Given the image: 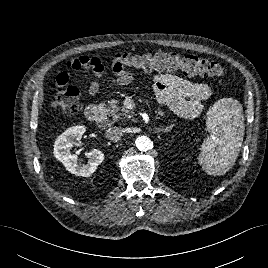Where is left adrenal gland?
<instances>
[{"mask_svg": "<svg viewBox=\"0 0 268 268\" xmlns=\"http://www.w3.org/2000/svg\"><path fill=\"white\" fill-rule=\"evenodd\" d=\"M175 126V124H171L170 126L166 127L165 129H162L164 133L171 132L172 128Z\"/></svg>", "mask_w": 268, "mask_h": 268, "instance_id": "a2214340", "label": "left adrenal gland"}]
</instances>
